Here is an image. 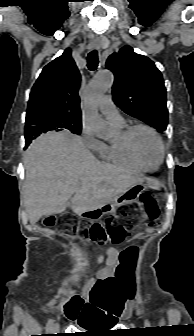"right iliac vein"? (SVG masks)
<instances>
[{
  "instance_id": "obj_1",
  "label": "right iliac vein",
  "mask_w": 194,
  "mask_h": 336,
  "mask_svg": "<svg viewBox=\"0 0 194 336\" xmlns=\"http://www.w3.org/2000/svg\"><path fill=\"white\" fill-rule=\"evenodd\" d=\"M58 329H59V324L56 323V324L54 325V331H57Z\"/></svg>"
}]
</instances>
